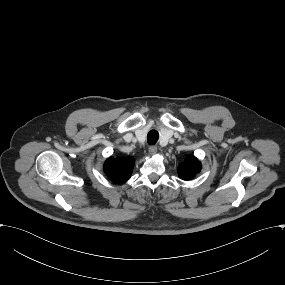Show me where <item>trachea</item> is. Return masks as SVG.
<instances>
[{
	"instance_id": "3493384b",
	"label": "trachea",
	"mask_w": 285,
	"mask_h": 285,
	"mask_svg": "<svg viewBox=\"0 0 285 285\" xmlns=\"http://www.w3.org/2000/svg\"><path fill=\"white\" fill-rule=\"evenodd\" d=\"M159 139V133L156 130H151L147 134V142L149 145L155 144Z\"/></svg>"
}]
</instances>
